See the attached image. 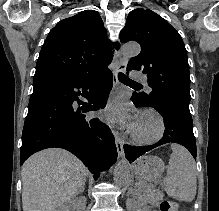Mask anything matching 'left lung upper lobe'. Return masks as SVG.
Returning <instances> with one entry per match:
<instances>
[{
    "label": "left lung upper lobe",
    "instance_id": "obj_1",
    "mask_svg": "<svg viewBox=\"0 0 219 211\" xmlns=\"http://www.w3.org/2000/svg\"><path fill=\"white\" fill-rule=\"evenodd\" d=\"M120 40L141 45L140 54L127 65L128 71L147 74L152 91L139 96L161 110L176 109L191 115L187 51L176 29L149 9H135L127 17Z\"/></svg>",
    "mask_w": 219,
    "mask_h": 211
}]
</instances>
